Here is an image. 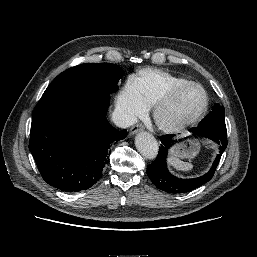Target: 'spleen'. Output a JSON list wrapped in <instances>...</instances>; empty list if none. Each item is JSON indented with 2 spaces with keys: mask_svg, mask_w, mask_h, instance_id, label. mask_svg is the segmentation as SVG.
I'll use <instances>...</instances> for the list:
<instances>
[{
  "mask_svg": "<svg viewBox=\"0 0 257 257\" xmlns=\"http://www.w3.org/2000/svg\"><path fill=\"white\" fill-rule=\"evenodd\" d=\"M169 164L179 171H190L193 168V165L191 163L181 161L174 156L169 157Z\"/></svg>",
  "mask_w": 257,
  "mask_h": 257,
  "instance_id": "1",
  "label": "spleen"
}]
</instances>
